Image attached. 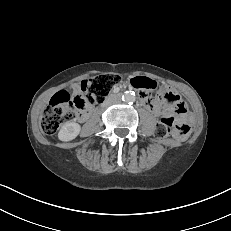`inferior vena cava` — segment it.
I'll return each mask as SVG.
<instances>
[{"instance_id": "obj_1", "label": "inferior vena cava", "mask_w": 231, "mask_h": 231, "mask_svg": "<svg viewBox=\"0 0 231 231\" xmlns=\"http://www.w3.org/2000/svg\"><path fill=\"white\" fill-rule=\"evenodd\" d=\"M118 97H116L115 95H111L108 100L105 102V105H110L116 101H118Z\"/></svg>"}]
</instances>
